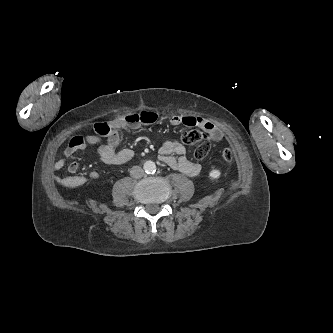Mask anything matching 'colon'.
<instances>
[{
    "label": "colon",
    "mask_w": 333,
    "mask_h": 333,
    "mask_svg": "<svg viewBox=\"0 0 333 333\" xmlns=\"http://www.w3.org/2000/svg\"><path fill=\"white\" fill-rule=\"evenodd\" d=\"M94 130L97 135L101 137H107L111 134L112 128L108 122H100L94 125ZM181 141L185 145H197L194 156L198 160H203L207 157L210 150V142L205 133L200 130H191L183 133ZM221 160L225 163H232L234 160V154L232 149L225 148L221 152Z\"/></svg>",
    "instance_id": "5ec220e1"
}]
</instances>
